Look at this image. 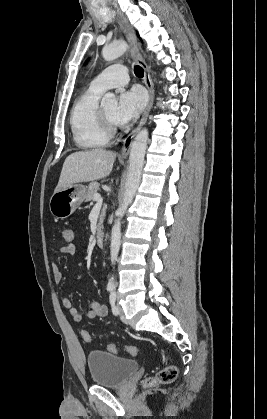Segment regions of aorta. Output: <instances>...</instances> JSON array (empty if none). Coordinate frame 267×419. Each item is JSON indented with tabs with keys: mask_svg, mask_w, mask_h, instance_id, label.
Returning a JSON list of instances; mask_svg holds the SVG:
<instances>
[{
	"mask_svg": "<svg viewBox=\"0 0 267 419\" xmlns=\"http://www.w3.org/2000/svg\"><path fill=\"white\" fill-rule=\"evenodd\" d=\"M127 48L128 46L126 43L117 42L109 46H105L102 50V56L106 61H112L125 53ZM101 104L103 106L116 105L117 100L115 95L113 93L105 94L102 98ZM147 140L148 130L144 128L135 136L131 145L123 202L116 212L118 218L116 219L111 231L110 256L112 264H115L117 261L121 246V220L128 206L131 204L141 181ZM108 286H114L113 277L110 278Z\"/></svg>",
	"mask_w": 267,
	"mask_h": 419,
	"instance_id": "aorta-1",
	"label": "aorta"
}]
</instances>
